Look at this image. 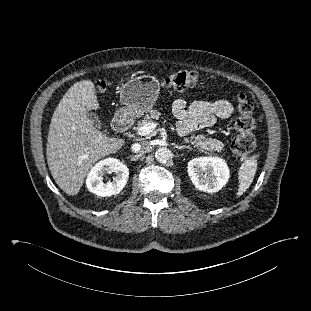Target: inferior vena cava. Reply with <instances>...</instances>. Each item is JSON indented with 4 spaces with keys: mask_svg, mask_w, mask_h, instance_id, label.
I'll use <instances>...</instances> for the list:
<instances>
[{
    "mask_svg": "<svg viewBox=\"0 0 311 311\" xmlns=\"http://www.w3.org/2000/svg\"><path fill=\"white\" fill-rule=\"evenodd\" d=\"M149 148V143L148 142H146V141H143V142H141V143H135V144H133L132 145V147H131V150H132V152H134V153H138V152H140L141 150H147Z\"/></svg>",
    "mask_w": 311,
    "mask_h": 311,
    "instance_id": "1",
    "label": "inferior vena cava"
}]
</instances>
